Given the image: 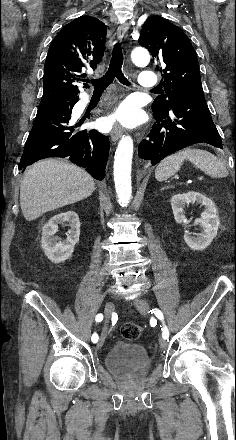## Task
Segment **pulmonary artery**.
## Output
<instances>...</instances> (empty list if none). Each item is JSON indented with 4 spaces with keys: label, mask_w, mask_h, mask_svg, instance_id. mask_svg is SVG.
Segmentation results:
<instances>
[{
    "label": "pulmonary artery",
    "mask_w": 236,
    "mask_h": 440,
    "mask_svg": "<svg viewBox=\"0 0 236 440\" xmlns=\"http://www.w3.org/2000/svg\"><path fill=\"white\" fill-rule=\"evenodd\" d=\"M158 78L151 71H143L138 80V87L141 89H153L157 85Z\"/></svg>",
    "instance_id": "obj_1"
}]
</instances>
